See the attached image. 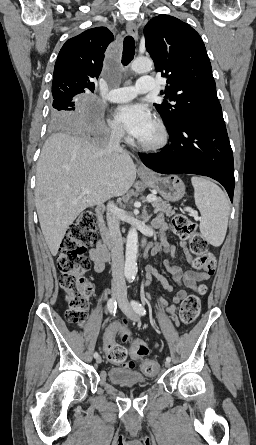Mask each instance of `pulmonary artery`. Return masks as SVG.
<instances>
[{
  "label": "pulmonary artery",
  "instance_id": "e3ab8cb5",
  "mask_svg": "<svg viewBox=\"0 0 256 445\" xmlns=\"http://www.w3.org/2000/svg\"><path fill=\"white\" fill-rule=\"evenodd\" d=\"M155 88V80L151 76L140 77L135 87L125 86L111 90L107 99L113 103H123L134 99L138 94L153 91Z\"/></svg>",
  "mask_w": 256,
  "mask_h": 445
}]
</instances>
